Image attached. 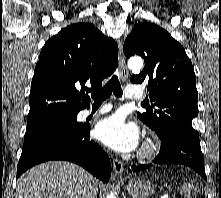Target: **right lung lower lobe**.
<instances>
[{
  "instance_id": "obj_1",
  "label": "right lung lower lobe",
  "mask_w": 221,
  "mask_h": 198,
  "mask_svg": "<svg viewBox=\"0 0 221 198\" xmlns=\"http://www.w3.org/2000/svg\"><path fill=\"white\" fill-rule=\"evenodd\" d=\"M90 126L73 131L48 132L24 142L18 162L17 178L27 169L50 160L76 163L107 183L111 176L108 155L90 140Z\"/></svg>"
}]
</instances>
